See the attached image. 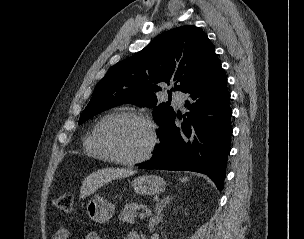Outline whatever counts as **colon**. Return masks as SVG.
<instances>
[{"instance_id":"5ec220e1","label":"colon","mask_w":304,"mask_h":239,"mask_svg":"<svg viewBox=\"0 0 304 239\" xmlns=\"http://www.w3.org/2000/svg\"><path fill=\"white\" fill-rule=\"evenodd\" d=\"M55 207L64 212L72 213L74 210V196L72 193L58 195L54 200Z\"/></svg>"}]
</instances>
